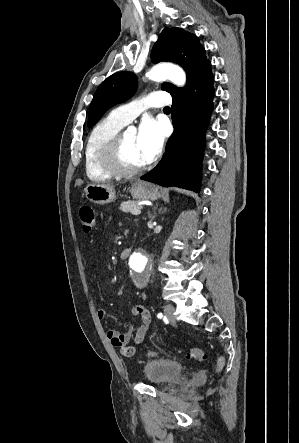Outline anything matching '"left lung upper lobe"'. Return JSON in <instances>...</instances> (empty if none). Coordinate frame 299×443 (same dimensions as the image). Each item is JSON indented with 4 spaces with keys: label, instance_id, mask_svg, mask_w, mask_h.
I'll list each match as a JSON object with an SVG mask.
<instances>
[{
    "label": "left lung upper lobe",
    "instance_id": "1",
    "mask_svg": "<svg viewBox=\"0 0 299 443\" xmlns=\"http://www.w3.org/2000/svg\"><path fill=\"white\" fill-rule=\"evenodd\" d=\"M151 57L154 63L170 61L182 66L187 75L186 86L209 61L198 38L181 28L164 29L153 46ZM136 82L131 72H118L103 81L90 104L88 127L93 126L110 107L130 98L136 90ZM161 88L172 96L184 89L167 82Z\"/></svg>",
    "mask_w": 299,
    "mask_h": 443
}]
</instances>
